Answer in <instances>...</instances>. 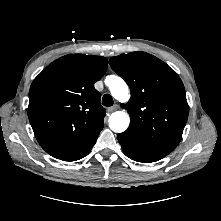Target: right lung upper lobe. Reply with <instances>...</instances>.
I'll use <instances>...</instances> for the list:
<instances>
[{
    "mask_svg": "<svg viewBox=\"0 0 221 221\" xmlns=\"http://www.w3.org/2000/svg\"><path fill=\"white\" fill-rule=\"evenodd\" d=\"M102 56L69 54L32 82L28 118L41 147L61 159L83 148L103 128L105 109L94 88L107 70Z\"/></svg>",
    "mask_w": 221,
    "mask_h": 221,
    "instance_id": "cb5924a9",
    "label": "right lung upper lobe"
}]
</instances>
